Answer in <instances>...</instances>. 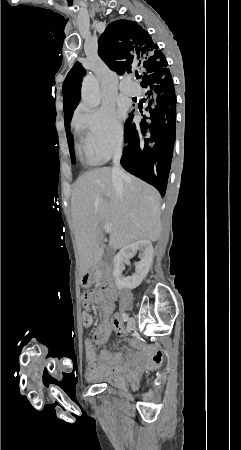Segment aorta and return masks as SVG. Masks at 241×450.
I'll return each mask as SVG.
<instances>
[{
  "mask_svg": "<svg viewBox=\"0 0 241 450\" xmlns=\"http://www.w3.org/2000/svg\"><path fill=\"white\" fill-rule=\"evenodd\" d=\"M82 101L91 108L97 107L101 102L99 84L93 75H87L82 82Z\"/></svg>",
  "mask_w": 241,
  "mask_h": 450,
  "instance_id": "762f6f07",
  "label": "aorta"
}]
</instances>
